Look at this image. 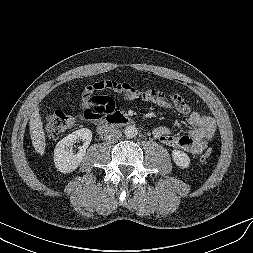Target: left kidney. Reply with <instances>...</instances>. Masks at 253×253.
I'll use <instances>...</instances> for the list:
<instances>
[{"label":"left kidney","mask_w":253,"mask_h":253,"mask_svg":"<svg viewBox=\"0 0 253 253\" xmlns=\"http://www.w3.org/2000/svg\"><path fill=\"white\" fill-rule=\"evenodd\" d=\"M172 158L174 163L179 166L180 168H188L190 165V158L189 156L180 150H173L172 151Z\"/></svg>","instance_id":"5707ae66"}]
</instances>
